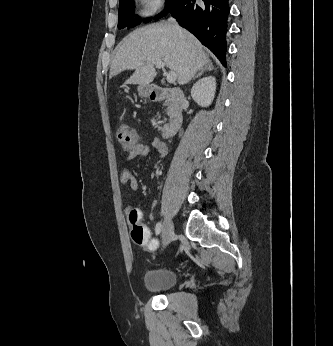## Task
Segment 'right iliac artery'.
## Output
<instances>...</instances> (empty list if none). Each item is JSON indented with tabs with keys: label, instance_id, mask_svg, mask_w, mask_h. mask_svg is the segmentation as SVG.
<instances>
[{
	"label": "right iliac artery",
	"instance_id": "82829eb1",
	"mask_svg": "<svg viewBox=\"0 0 333 346\" xmlns=\"http://www.w3.org/2000/svg\"><path fill=\"white\" fill-rule=\"evenodd\" d=\"M161 231H162V224H161V222H158L156 224V227H155L156 235H159L161 233Z\"/></svg>",
	"mask_w": 333,
	"mask_h": 346
}]
</instances>
